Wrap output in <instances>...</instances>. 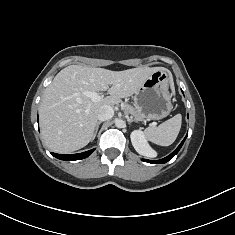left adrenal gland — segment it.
Instances as JSON below:
<instances>
[{"label": "left adrenal gland", "mask_w": 235, "mask_h": 235, "mask_svg": "<svg viewBox=\"0 0 235 235\" xmlns=\"http://www.w3.org/2000/svg\"><path fill=\"white\" fill-rule=\"evenodd\" d=\"M127 121H128L129 124L132 123V122H134V120H133V119H130V118H128Z\"/></svg>", "instance_id": "obj_1"}]
</instances>
